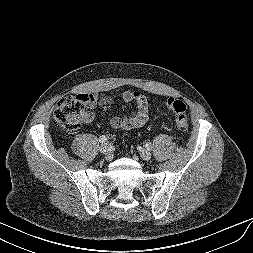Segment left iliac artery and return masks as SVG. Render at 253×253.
I'll list each match as a JSON object with an SVG mask.
<instances>
[{"label":"left iliac artery","mask_w":253,"mask_h":253,"mask_svg":"<svg viewBox=\"0 0 253 253\" xmlns=\"http://www.w3.org/2000/svg\"><path fill=\"white\" fill-rule=\"evenodd\" d=\"M145 147L147 148V150H151L152 149L151 143H146Z\"/></svg>","instance_id":"44dca946"}]
</instances>
